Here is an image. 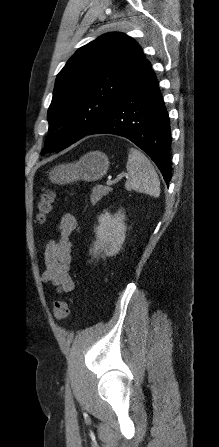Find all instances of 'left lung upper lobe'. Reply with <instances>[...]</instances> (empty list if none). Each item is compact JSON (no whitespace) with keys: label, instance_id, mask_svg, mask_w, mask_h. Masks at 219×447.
Here are the masks:
<instances>
[{"label":"left lung upper lobe","instance_id":"5c2ea615","mask_svg":"<svg viewBox=\"0 0 219 447\" xmlns=\"http://www.w3.org/2000/svg\"><path fill=\"white\" fill-rule=\"evenodd\" d=\"M145 58L129 36L108 33L81 47L59 72L48 110L47 151L67 148L97 124L132 82ZM43 154V152H42Z\"/></svg>","mask_w":219,"mask_h":447}]
</instances>
